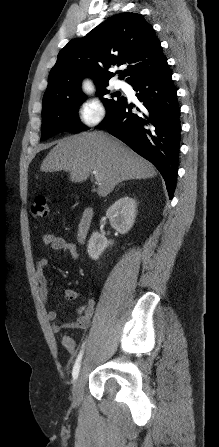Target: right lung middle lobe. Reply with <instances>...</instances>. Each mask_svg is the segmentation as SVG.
<instances>
[{
    "label": "right lung middle lobe",
    "instance_id": "obj_1",
    "mask_svg": "<svg viewBox=\"0 0 219 447\" xmlns=\"http://www.w3.org/2000/svg\"><path fill=\"white\" fill-rule=\"evenodd\" d=\"M107 86L98 87L96 95L101 98L108 113L125 97L112 94V97L117 98H102L110 93ZM83 100L84 96L82 95H55L43 98L41 140H46L60 132L87 130L88 128L80 122L77 116L78 108Z\"/></svg>",
    "mask_w": 219,
    "mask_h": 447
}]
</instances>
